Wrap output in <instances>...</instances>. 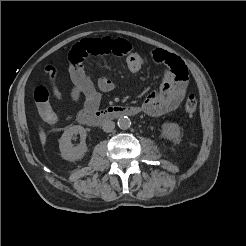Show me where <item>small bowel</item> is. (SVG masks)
Masks as SVG:
<instances>
[{
    "label": "small bowel",
    "instance_id": "c3829d8e",
    "mask_svg": "<svg viewBox=\"0 0 246 246\" xmlns=\"http://www.w3.org/2000/svg\"><path fill=\"white\" fill-rule=\"evenodd\" d=\"M101 55L125 57L131 73L139 72L145 65L144 58L124 39H84L76 44L69 53L70 96L73 102L82 103L84 110L95 111L102 94L114 89V83L108 78L99 77L93 82L85 71L86 58ZM150 56L164 66L162 85L158 91L148 94L139 108L150 116H161L177 109L184 99L188 89V70L181 58L164 50L155 49ZM46 70L51 76L54 95L61 100L62 94L56 85L57 69L48 66Z\"/></svg>",
    "mask_w": 246,
    "mask_h": 246
}]
</instances>
